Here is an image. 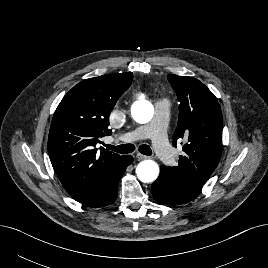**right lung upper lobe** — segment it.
<instances>
[{
    "label": "right lung upper lobe",
    "mask_w": 268,
    "mask_h": 268,
    "mask_svg": "<svg viewBox=\"0 0 268 268\" xmlns=\"http://www.w3.org/2000/svg\"><path fill=\"white\" fill-rule=\"evenodd\" d=\"M132 79L131 72L85 79L64 96L54 113L49 157L65 190L81 204L97 195L123 157L104 150L98 153L96 144L111 135L109 113Z\"/></svg>",
    "instance_id": "1"
}]
</instances>
